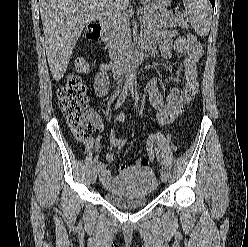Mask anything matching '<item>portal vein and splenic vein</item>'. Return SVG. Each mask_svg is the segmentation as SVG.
Returning a JSON list of instances; mask_svg holds the SVG:
<instances>
[{
	"label": "portal vein and splenic vein",
	"mask_w": 248,
	"mask_h": 247,
	"mask_svg": "<svg viewBox=\"0 0 248 247\" xmlns=\"http://www.w3.org/2000/svg\"><path fill=\"white\" fill-rule=\"evenodd\" d=\"M142 9H138V13H141ZM113 16H116V14H113Z\"/></svg>",
	"instance_id": "18ae733b"
}]
</instances>
